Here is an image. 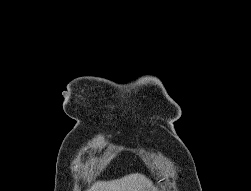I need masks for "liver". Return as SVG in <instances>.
<instances>
[{"instance_id": "obj_1", "label": "liver", "mask_w": 251, "mask_h": 191, "mask_svg": "<svg viewBox=\"0 0 251 191\" xmlns=\"http://www.w3.org/2000/svg\"><path fill=\"white\" fill-rule=\"evenodd\" d=\"M87 191H152V181L142 173H129L112 181H96Z\"/></svg>"}]
</instances>
